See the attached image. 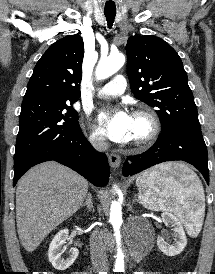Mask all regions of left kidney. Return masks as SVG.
<instances>
[{"label": "left kidney", "instance_id": "left-kidney-1", "mask_svg": "<svg viewBox=\"0 0 215 274\" xmlns=\"http://www.w3.org/2000/svg\"><path fill=\"white\" fill-rule=\"evenodd\" d=\"M161 216L164 224L172 227L174 243L170 245L168 236L163 235L157 237V246L166 256H176L180 254L187 245V238L183 226L179 219L171 213L164 212Z\"/></svg>", "mask_w": 215, "mask_h": 274}]
</instances>
